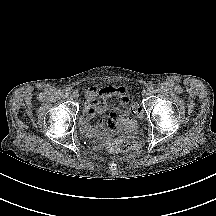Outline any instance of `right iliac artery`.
Listing matches in <instances>:
<instances>
[{
	"label": "right iliac artery",
	"instance_id": "1",
	"mask_svg": "<svg viewBox=\"0 0 216 216\" xmlns=\"http://www.w3.org/2000/svg\"><path fill=\"white\" fill-rule=\"evenodd\" d=\"M65 92H66V94H69V93H71V89H70V88H67V89L65 90Z\"/></svg>",
	"mask_w": 216,
	"mask_h": 216
}]
</instances>
